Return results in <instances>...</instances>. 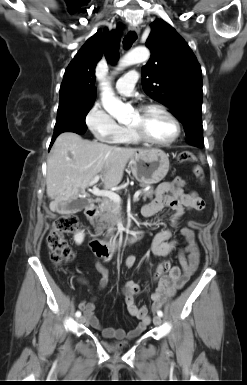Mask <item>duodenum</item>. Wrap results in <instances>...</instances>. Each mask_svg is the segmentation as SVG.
Segmentation results:
<instances>
[{
    "mask_svg": "<svg viewBox=\"0 0 247 385\" xmlns=\"http://www.w3.org/2000/svg\"><path fill=\"white\" fill-rule=\"evenodd\" d=\"M98 212L99 210L96 205H91L85 209V215L90 221H94L96 219ZM143 234L144 231L142 229H135L122 240L115 242H105L94 238L90 241V247L96 255L101 257H109L117 251L121 243L136 242L142 238Z\"/></svg>",
    "mask_w": 247,
    "mask_h": 385,
    "instance_id": "obj_1",
    "label": "duodenum"
}]
</instances>
